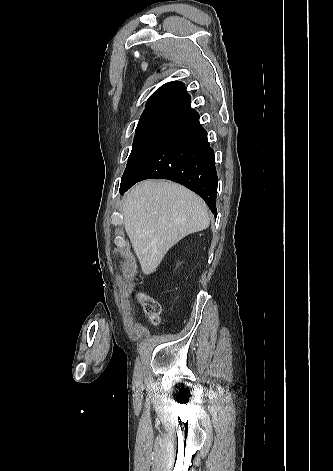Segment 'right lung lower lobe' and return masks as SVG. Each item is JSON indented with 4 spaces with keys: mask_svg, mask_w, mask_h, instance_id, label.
<instances>
[{
    "mask_svg": "<svg viewBox=\"0 0 333 471\" xmlns=\"http://www.w3.org/2000/svg\"><path fill=\"white\" fill-rule=\"evenodd\" d=\"M145 179H168L186 186L200 195L217 216L214 151L195 110L163 131L141 152L124 171L120 193Z\"/></svg>",
    "mask_w": 333,
    "mask_h": 471,
    "instance_id": "right-lung-lower-lobe-1",
    "label": "right lung lower lobe"
}]
</instances>
